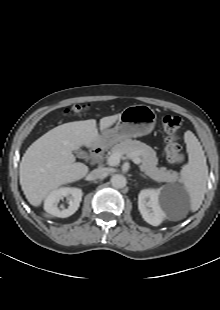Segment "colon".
<instances>
[{
  "instance_id": "1",
  "label": "colon",
  "mask_w": 220,
  "mask_h": 310,
  "mask_svg": "<svg viewBox=\"0 0 220 310\" xmlns=\"http://www.w3.org/2000/svg\"><path fill=\"white\" fill-rule=\"evenodd\" d=\"M86 109L85 105H75L66 111L67 114H81ZM163 130L166 133V154L173 163L183 160L181 145L179 144L178 131L181 127V119L177 115H165L161 120Z\"/></svg>"
}]
</instances>
